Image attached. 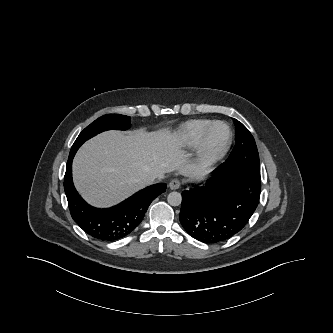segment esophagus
<instances>
[{
  "label": "esophagus",
  "mask_w": 333,
  "mask_h": 333,
  "mask_svg": "<svg viewBox=\"0 0 333 333\" xmlns=\"http://www.w3.org/2000/svg\"><path fill=\"white\" fill-rule=\"evenodd\" d=\"M181 187V181L179 179H173L169 183V188L171 190H177Z\"/></svg>",
  "instance_id": "obj_1"
}]
</instances>
